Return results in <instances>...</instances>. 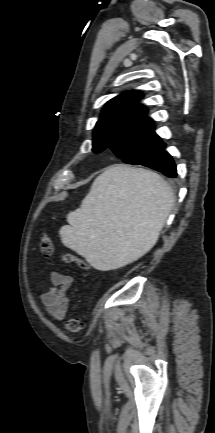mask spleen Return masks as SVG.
I'll use <instances>...</instances> for the list:
<instances>
[{"label":"spleen","instance_id":"obj_1","mask_svg":"<svg viewBox=\"0 0 215 433\" xmlns=\"http://www.w3.org/2000/svg\"><path fill=\"white\" fill-rule=\"evenodd\" d=\"M173 202L171 187L158 174L111 166L67 215L61 241L98 270L120 268L154 246Z\"/></svg>","mask_w":215,"mask_h":433}]
</instances>
